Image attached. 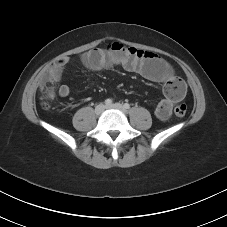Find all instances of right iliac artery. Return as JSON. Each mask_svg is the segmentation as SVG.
Returning <instances> with one entry per match:
<instances>
[{
  "label": "right iliac artery",
  "mask_w": 227,
  "mask_h": 227,
  "mask_svg": "<svg viewBox=\"0 0 227 227\" xmlns=\"http://www.w3.org/2000/svg\"><path fill=\"white\" fill-rule=\"evenodd\" d=\"M112 104V100L111 99H106L105 100V105L109 106Z\"/></svg>",
  "instance_id": "obj_1"
}]
</instances>
